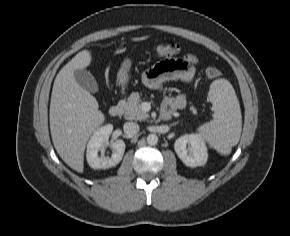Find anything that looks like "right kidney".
Masks as SVG:
<instances>
[{
    "instance_id": "obj_1",
    "label": "right kidney",
    "mask_w": 290,
    "mask_h": 236,
    "mask_svg": "<svg viewBox=\"0 0 290 236\" xmlns=\"http://www.w3.org/2000/svg\"><path fill=\"white\" fill-rule=\"evenodd\" d=\"M113 131L111 124L99 128L90 138L87 144L86 159L93 169H106L114 167L122 160L125 143L123 140H116L111 144L114 152L111 157H99L98 152L109 144V136Z\"/></svg>"
}]
</instances>
